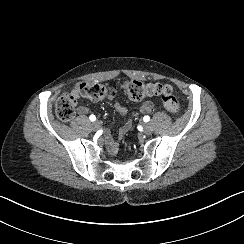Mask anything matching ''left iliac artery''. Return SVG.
I'll return each mask as SVG.
<instances>
[{
  "label": "left iliac artery",
  "mask_w": 244,
  "mask_h": 244,
  "mask_svg": "<svg viewBox=\"0 0 244 244\" xmlns=\"http://www.w3.org/2000/svg\"><path fill=\"white\" fill-rule=\"evenodd\" d=\"M143 120H144V122H148V121H150V117L147 115V116H144L143 117Z\"/></svg>",
  "instance_id": "obj_1"
}]
</instances>
